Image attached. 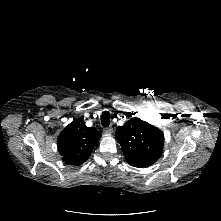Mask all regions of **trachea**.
Returning a JSON list of instances; mask_svg holds the SVG:
<instances>
[{
    "label": "trachea",
    "instance_id": "trachea-1",
    "mask_svg": "<svg viewBox=\"0 0 221 221\" xmlns=\"http://www.w3.org/2000/svg\"><path fill=\"white\" fill-rule=\"evenodd\" d=\"M101 124L104 127H108L110 124V114L108 111H104L101 115Z\"/></svg>",
    "mask_w": 221,
    "mask_h": 221
}]
</instances>
